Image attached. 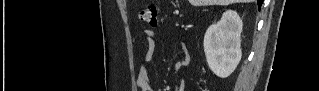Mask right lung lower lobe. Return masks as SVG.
I'll use <instances>...</instances> for the list:
<instances>
[{
	"label": "right lung lower lobe",
	"instance_id": "right-lung-lower-lobe-1",
	"mask_svg": "<svg viewBox=\"0 0 319 91\" xmlns=\"http://www.w3.org/2000/svg\"><path fill=\"white\" fill-rule=\"evenodd\" d=\"M263 0H257V4H258V8L260 9L261 5H262Z\"/></svg>",
	"mask_w": 319,
	"mask_h": 91
}]
</instances>
